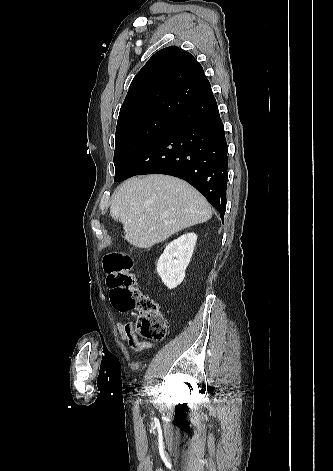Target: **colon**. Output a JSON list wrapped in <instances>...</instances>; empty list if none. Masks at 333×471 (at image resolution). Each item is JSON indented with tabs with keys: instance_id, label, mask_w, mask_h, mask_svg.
Segmentation results:
<instances>
[{
	"instance_id": "obj_1",
	"label": "colon",
	"mask_w": 333,
	"mask_h": 471,
	"mask_svg": "<svg viewBox=\"0 0 333 471\" xmlns=\"http://www.w3.org/2000/svg\"><path fill=\"white\" fill-rule=\"evenodd\" d=\"M103 265L113 307L123 312L136 311L138 333L150 340H163L167 331L166 320L157 303L136 288L129 251L108 253L103 259Z\"/></svg>"
}]
</instances>
